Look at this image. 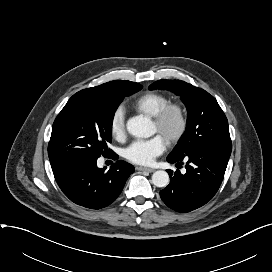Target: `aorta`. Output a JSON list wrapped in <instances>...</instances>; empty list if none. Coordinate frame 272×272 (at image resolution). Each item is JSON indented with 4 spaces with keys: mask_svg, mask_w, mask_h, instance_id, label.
I'll list each match as a JSON object with an SVG mask.
<instances>
[{
    "mask_svg": "<svg viewBox=\"0 0 272 272\" xmlns=\"http://www.w3.org/2000/svg\"><path fill=\"white\" fill-rule=\"evenodd\" d=\"M127 131L138 138H148L154 134V126L147 118L136 116L130 118L126 124ZM152 183L156 187H166L169 184V175L166 171L158 170L152 175Z\"/></svg>",
    "mask_w": 272,
    "mask_h": 272,
    "instance_id": "1",
    "label": "aorta"
}]
</instances>
